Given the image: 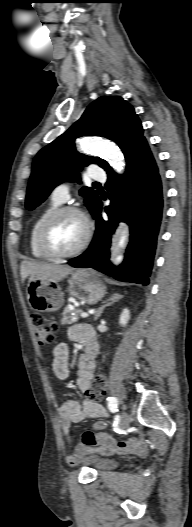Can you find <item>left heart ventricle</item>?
I'll list each match as a JSON object with an SVG mask.
<instances>
[{
  "mask_svg": "<svg viewBox=\"0 0 192 527\" xmlns=\"http://www.w3.org/2000/svg\"><path fill=\"white\" fill-rule=\"evenodd\" d=\"M84 231V224L79 216L66 214L51 229V246L59 252L71 251L81 242Z\"/></svg>",
  "mask_w": 192,
  "mask_h": 527,
  "instance_id": "1",
  "label": "left heart ventricle"
}]
</instances>
